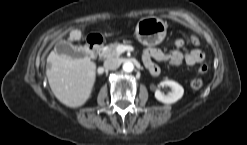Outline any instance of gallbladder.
I'll use <instances>...</instances> for the list:
<instances>
[{
	"label": "gallbladder",
	"instance_id": "bac80fb5",
	"mask_svg": "<svg viewBox=\"0 0 247 145\" xmlns=\"http://www.w3.org/2000/svg\"><path fill=\"white\" fill-rule=\"evenodd\" d=\"M55 51L57 54H66L73 59L83 58L87 54L86 50L83 47L73 46L71 43L64 40L56 43Z\"/></svg>",
	"mask_w": 247,
	"mask_h": 145
}]
</instances>
